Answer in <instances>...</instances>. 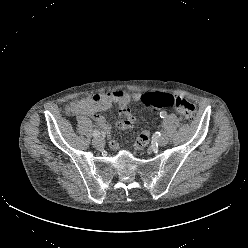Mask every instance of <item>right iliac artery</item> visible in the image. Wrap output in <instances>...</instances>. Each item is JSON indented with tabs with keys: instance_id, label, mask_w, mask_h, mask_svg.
Masks as SVG:
<instances>
[{
	"instance_id": "obj_1",
	"label": "right iliac artery",
	"mask_w": 248,
	"mask_h": 248,
	"mask_svg": "<svg viewBox=\"0 0 248 248\" xmlns=\"http://www.w3.org/2000/svg\"><path fill=\"white\" fill-rule=\"evenodd\" d=\"M93 136L96 137H100V132L98 130H94L93 132Z\"/></svg>"
}]
</instances>
